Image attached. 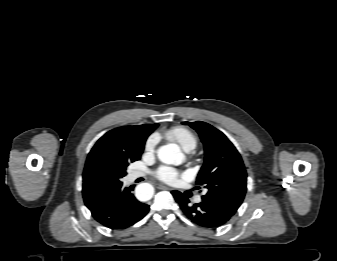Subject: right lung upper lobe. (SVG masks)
I'll use <instances>...</instances> for the list:
<instances>
[{
    "instance_id": "cb5924a9",
    "label": "right lung upper lobe",
    "mask_w": 337,
    "mask_h": 261,
    "mask_svg": "<svg viewBox=\"0 0 337 261\" xmlns=\"http://www.w3.org/2000/svg\"><path fill=\"white\" fill-rule=\"evenodd\" d=\"M158 127V124L124 126L113 129L103 135L91 149L83 173V198L85 205L91 209L102 197L114 189L95 185L90 173L101 160L115 164L130 163L140 159L147 137Z\"/></svg>"
}]
</instances>
